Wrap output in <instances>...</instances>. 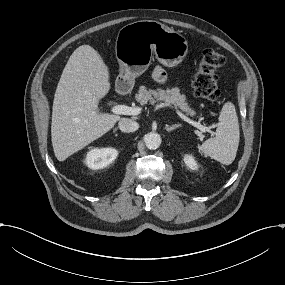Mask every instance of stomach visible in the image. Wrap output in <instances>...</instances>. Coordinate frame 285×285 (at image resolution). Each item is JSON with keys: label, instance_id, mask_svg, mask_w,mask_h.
Returning a JSON list of instances; mask_svg holds the SVG:
<instances>
[{"label": "stomach", "instance_id": "stomach-1", "mask_svg": "<svg viewBox=\"0 0 285 285\" xmlns=\"http://www.w3.org/2000/svg\"><path fill=\"white\" fill-rule=\"evenodd\" d=\"M188 50L187 38L160 22L142 20L128 24L119 31L116 39L120 66L117 82H133L135 77L143 74L153 53L160 64L173 68L183 62Z\"/></svg>", "mask_w": 285, "mask_h": 285}]
</instances>
